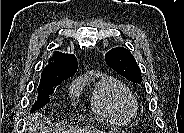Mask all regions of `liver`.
I'll return each instance as SVG.
<instances>
[{
  "mask_svg": "<svg viewBox=\"0 0 184 133\" xmlns=\"http://www.w3.org/2000/svg\"><path fill=\"white\" fill-rule=\"evenodd\" d=\"M35 121L38 120V115L34 117ZM40 122V121H39ZM41 133H50V130L47 128H43L40 130ZM68 133H101L99 130L96 129H79L73 128L68 131Z\"/></svg>",
  "mask_w": 184,
  "mask_h": 133,
  "instance_id": "liver-1",
  "label": "liver"
}]
</instances>
